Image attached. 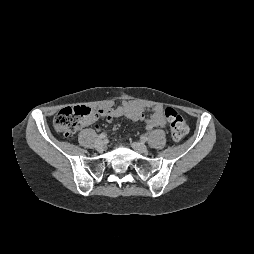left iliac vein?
Wrapping results in <instances>:
<instances>
[{"instance_id":"4c4485c4","label":"left iliac vein","mask_w":254,"mask_h":254,"mask_svg":"<svg viewBox=\"0 0 254 254\" xmlns=\"http://www.w3.org/2000/svg\"><path fill=\"white\" fill-rule=\"evenodd\" d=\"M132 147L138 153H146L148 151L147 146L142 142H133Z\"/></svg>"}]
</instances>
